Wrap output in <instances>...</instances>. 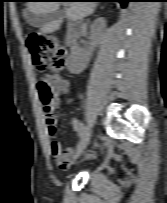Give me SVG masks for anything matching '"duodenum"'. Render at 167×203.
I'll use <instances>...</instances> for the list:
<instances>
[{"mask_svg": "<svg viewBox=\"0 0 167 203\" xmlns=\"http://www.w3.org/2000/svg\"><path fill=\"white\" fill-rule=\"evenodd\" d=\"M83 31L82 22L76 19L67 21V30L65 35L66 45L71 48L74 46Z\"/></svg>", "mask_w": 167, "mask_h": 203, "instance_id": "obj_1", "label": "duodenum"}]
</instances>
